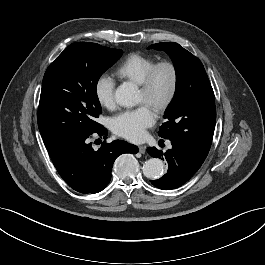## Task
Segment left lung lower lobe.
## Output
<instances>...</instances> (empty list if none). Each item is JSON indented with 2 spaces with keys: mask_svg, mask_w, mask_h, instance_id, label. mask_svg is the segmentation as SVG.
Here are the masks:
<instances>
[{
  "mask_svg": "<svg viewBox=\"0 0 265 265\" xmlns=\"http://www.w3.org/2000/svg\"><path fill=\"white\" fill-rule=\"evenodd\" d=\"M172 148L165 153L149 147L147 152L152 157L166 160L168 163L167 173L151 183L162 190L175 189L187 182L201 167L204 160L198 158L190 149L176 142H172Z\"/></svg>",
  "mask_w": 265,
  "mask_h": 265,
  "instance_id": "1",
  "label": "left lung lower lobe"
}]
</instances>
